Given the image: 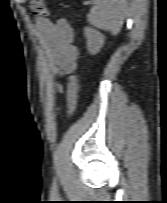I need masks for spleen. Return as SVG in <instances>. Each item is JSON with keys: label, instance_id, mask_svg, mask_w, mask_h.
Returning <instances> with one entry per match:
<instances>
[{"label": "spleen", "instance_id": "obj_1", "mask_svg": "<svg viewBox=\"0 0 167 203\" xmlns=\"http://www.w3.org/2000/svg\"><path fill=\"white\" fill-rule=\"evenodd\" d=\"M127 13V0H95L88 14V22L116 35Z\"/></svg>", "mask_w": 167, "mask_h": 203}]
</instances>
